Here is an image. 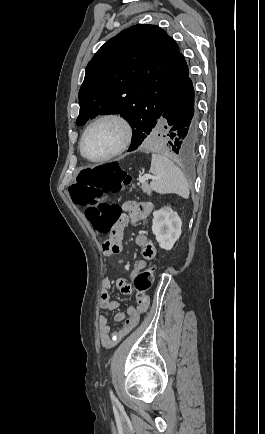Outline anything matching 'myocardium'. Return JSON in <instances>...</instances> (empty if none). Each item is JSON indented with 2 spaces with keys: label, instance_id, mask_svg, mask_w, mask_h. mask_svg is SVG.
I'll return each instance as SVG.
<instances>
[{
  "label": "myocardium",
  "instance_id": "1",
  "mask_svg": "<svg viewBox=\"0 0 265 434\" xmlns=\"http://www.w3.org/2000/svg\"><path fill=\"white\" fill-rule=\"evenodd\" d=\"M104 121H113V122H115L121 126V128H122L121 143L109 155H107L103 158H99V159H91V158L87 157L83 152V143H84L85 137L87 136L88 132L93 127H95L96 125H98L99 123L104 122ZM132 138H133L132 125H131L130 121L124 115L117 113V112L103 113V114L97 116L96 118H94L84 129V131L80 137L79 144H78L79 154L85 161H87L89 163H93V164L106 163V162L116 158L117 156L121 155L123 152H125L129 148V146L132 142Z\"/></svg>",
  "mask_w": 265,
  "mask_h": 434
}]
</instances>
